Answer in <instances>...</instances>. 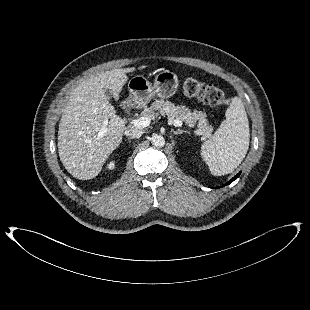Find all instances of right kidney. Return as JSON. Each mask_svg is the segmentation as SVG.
I'll list each match as a JSON object with an SVG mask.
<instances>
[{"label":"right kidney","mask_w":310,"mask_h":310,"mask_svg":"<svg viewBox=\"0 0 310 310\" xmlns=\"http://www.w3.org/2000/svg\"><path fill=\"white\" fill-rule=\"evenodd\" d=\"M114 166H115L114 162H110V163L108 164L107 168H108L109 170H112V169H114Z\"/></svg>","instance_id":"ca27d5eb"}]
</instances>
